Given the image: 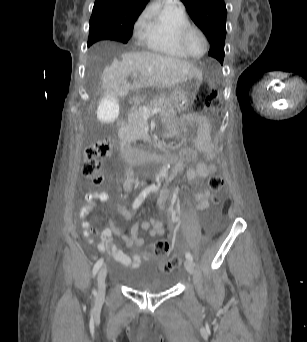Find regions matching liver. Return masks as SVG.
<instances>
[{"label": "liver", "mask_w": 307, "mask_h": 342, "mask_svg": "<svg viewBox=\"0 0 307 342\" xmlns=\"http://www.w3.org/2000/svg\"><path fill=\"white\" fill-rule=\"evenodd\" d=\"M140 74L133 84L128 82L131 74ZM199 70L180 58L152 54V52H129L114 56L102 76L106 95L127 96L129 90L141 88H176L188 78H196Z\"/></svg>", "instance_id": "obj_1"}]
</instances>
